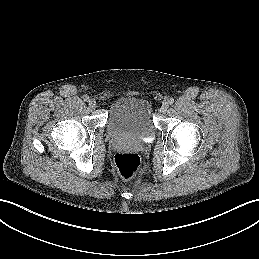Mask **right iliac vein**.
Masks as SVG:
<instances>
[{"instance_id": "right-iliac-vein-1", "label": "right iliac vein", "mask_w": 259, "mask_h": 259, "mask_svg": "<svg viewBox=\"0 0 259 259\" xmlns=\"http://www.w3.org/2000/svg\"><path fill=\"white\" fill-rule=\"evenodd\" d=\"M89 105H90V107L95 108L96 107V101L94 99L89 100Z\"/></svg>"}]
</instances>
